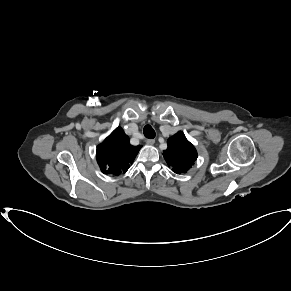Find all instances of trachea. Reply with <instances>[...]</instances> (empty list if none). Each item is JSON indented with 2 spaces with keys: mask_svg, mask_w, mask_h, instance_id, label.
<instances>
[{
  "mask_svg": "<svg viewBox=\"0 0 291 291\" xmlns=\"http://www.w3.org/2000/svg\"><path fill=\"white\" fill-rule=\"evenodd\" d=\"M143 133L146 138L152 139L155 137V131L150 125H146L143 129Z\"/></svg>",
  "mask_w": 291,
  "mask_h": 291,
  "instance_id": "3493384b",
  "label": "trachea"
}]
</instances>
